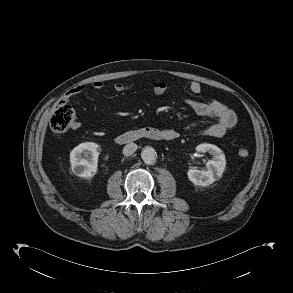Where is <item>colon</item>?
Returning <instances> with one entry per match:
<instances>
[{
    "instance_id": "obj_1",
    "label": "colon",
    "mask_w": 293,
    "mask_h": 293,
    "mask_svg": "<svg viewBox=\"0 0 293 293\" xmlns=\"http://www.w3.org/2000/svg\"><path fill=\"white\" fill-rule=\"evenodd\" d=\"M74 121V109L66 102L60 101L53 110L50 119V128L55 133H65ZM238 154L240 157H247L249 155V150L246 147H242L238 150Z\"/></svg>"
}]
</instances>
